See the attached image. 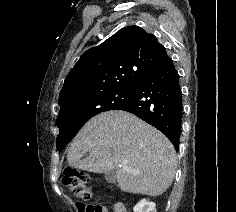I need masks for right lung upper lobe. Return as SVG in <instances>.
Listing matches in <instances>:
<instances>
[{
  "label": "right lung upper lobe",
  "instance_id": "obj_1",
  "mask_svg": "<svg viewBox=\"0 0 236 212\" xmlns=\"http://www.w3.org/2000/svg\"><path fill=\"white\" fill-rule=\"evenodd\" d=\"M166 54L153 34L128 26L88 49L67 75L59 95L60 108L84 97L135 86Z\"/></svg>",
  "mask_w": 236,
  "mask_h": 212
}]
</instances>
